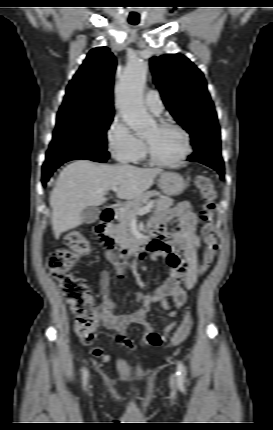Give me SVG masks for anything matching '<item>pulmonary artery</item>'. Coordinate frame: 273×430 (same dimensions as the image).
I'll list each match as a JSON object with an SVG mask.
<instances>
[{
    "label": "pulmonary artery",
    "mask_w": 273,
    "mask_h": 430,
    "mask_svg": "<svg viewBox=\"0 0 273 430\" xmlns=\"http://www.w3.org/2000/svg\"><path fill=\"white\" fill-rule=\"evenodd\" d=\"M145 104L148 110L156 115L160 114L164 109L163 102L160 98L158 91L156 90H149L147 92L145 97Z\"/></svg>",
    "instance_id": "e3ab8cb5"
}]
</instances>
